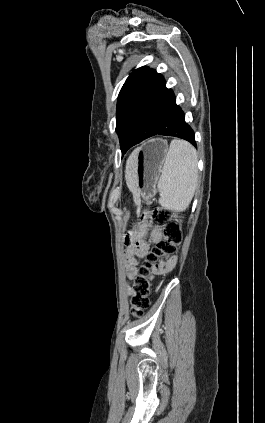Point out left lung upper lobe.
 Returning <instances> with one entry per match:
<instances>
[{"label": "left lung upper lobe", "instance_id": "left-lung-upper-lobe-1", "mask_svg": "<svg viewBox=\"0 0 265 423\" xmlns=\"http://www.w3.org/2000/svg\"><path fill=\"white\" fill-rule=\"evenodd\" d=\"M149 71L150 69L146 66L135 69L129 75L119 93L116 112V132L120 139L121 149L125 138L126 123L133 100Z\"/></svg>", "mask_w": 265, "mask_h": 423}]
</instances>
